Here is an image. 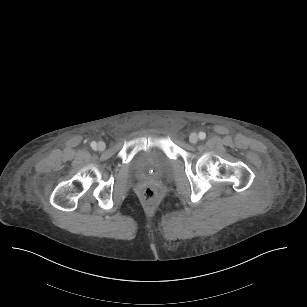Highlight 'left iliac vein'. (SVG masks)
Here are the masks:
<instances>
[{"label":"left iliac vein","instance_id":"1","mask_svg":"<svg viewBox=\"0 0 307 307\" xmlns=\"http://www.w3.org/2000/svg\"><path fill=\"white\" fill-rule=\"evenodd\" d=\"M191 143L196 144L198 142V135L196 133H192L189 137Z\"/></svg>","mask_w":307,"mask_h":307}]
</instances>
